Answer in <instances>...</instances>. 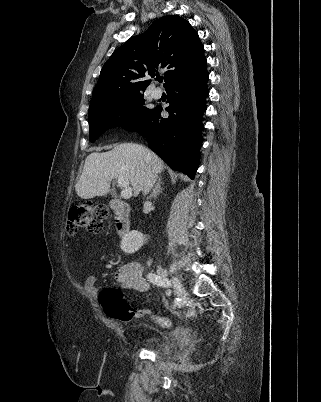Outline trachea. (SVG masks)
Listing matches in <instances>:
<instances>
[{
  "label": "trachea",
  "instance_id": "3493384b",
  "mask_svg": "<svg viewBox=\"0 0 321 402\" xmlns=\"http://www.w3.org/2000/svg\"><path fill=\"white\" fill-rule=\"evenodd\" d=\"M158 81H159V82H162V81H163V79L159 78V79H158Z\"/></svg>",
  "mask_w": 321,
  "mask_h": 402
}]
</instances>
